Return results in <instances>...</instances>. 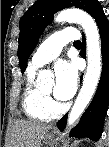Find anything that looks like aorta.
<instances>
[{"mask_svg": "<svg viewBox=\"0 0 109 147\" xmlns=\"http://www.w3.org/2000/svg\"><path fill=\"white\" fill-rule=\"evenodd\" d=\"M65 21L77 23L82 26L85 32L87 46L86 74L81 90L68 117V127H72L84 112L96 91L101 76L102 56L99 30L95 20L88 13L77 8L62 10L56 16L55 22ZM48 78H52V74L47 70H42L39 72L37 81L44 82Z\"/></svg>", "mask_w": 109, "mask_h": 147, "instance_id": "1", "label": "aorta"}]
</instances>
